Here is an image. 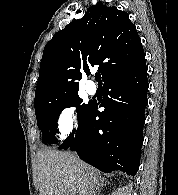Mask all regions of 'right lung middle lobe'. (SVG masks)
Segmentation results:
<instances>
[{"instance_id":"1","label":"right lung middle lobe","mask_w":178,"mask_h":195,"mask_svg":"<svg viewBox=\"0 0 178 195\" xmlns=\"http://www.w3.org/2000/svg\"><path fill=\"white\" fill-rule=\"evenodd\" d=\"M83 100L79 97L78 93L48 100L39 106L35 107V114L37 118V125L42 132V140L46 143H57L58 140L55 134L58 133L57 121L61 111L67 107H79L78 119L87 112L91 103L82 104ZM74 134V131L70 134L67 140H70Z\"/></svg>"}]
</instances>
